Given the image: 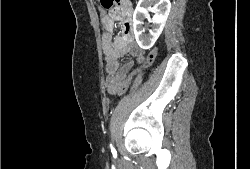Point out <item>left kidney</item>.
Segmentation results:
<instances>
[{
  "instance_id": "5707ae66",
  "label": "left kidney",
  "mask_w": 250,
  "mask_h": 169,
  "mask_svg": "<svg viewBox=\"0 0 250 169\" xmlns=\"http://www.w3.org/2000/svg\"><path fill=\"white\" fill-rule=\"evenodd\" d=\"M150 4H154V6H150ZM150 8H155L156 14L150 20L154 26L152 30H149L150 34L147 36V34H143L142 24H144L143 20L148 16ZM170 8V0H139L133 12V30L136 42L141 48H151L156 42L166 24Z\"/></svg>"
}]
</instances>
